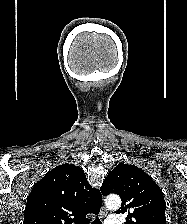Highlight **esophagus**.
<instances>
[{"mask_svg": "<svg viewBox=\"0 0 187 224\" xmlns=\"http://www.w3.org/2000/svg\"><path fill=\"white\" fill-rule=\"evenodd\" d=\"M99 215H100L101 219H104L106 217V215H107V210H106V208L103 205L101 206Z\"/></svg>", "mask_w": 187, "mask_h": 224, "instance_id": "1", "label": "esophagus"}]
</instances>
